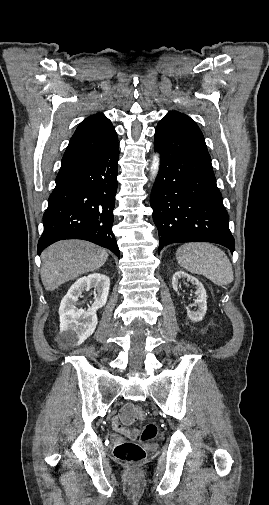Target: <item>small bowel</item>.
Returning <instances> with one entry per match:
<instances>
[{"mask_svg": "<svg viewBox=\"0 0 269 505\" xmlns=\"http://www.w3.org/2000/svg\"><path fill=\"white\" fill-rule=\"evenodd\" d=\"M134 410L135 406L132 403H127L123 406L120 416H115L112 419V425L116 432L128 437L138 434V429L128 427L135 419Z\"/></svg>", "mask_w": 269, "mask_h": 505, "instance_id": "small-bowel-1", "label": "small bowel"}]
</instances>
